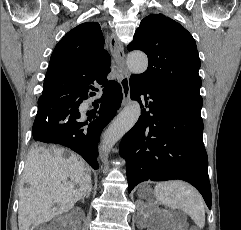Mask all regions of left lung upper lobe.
<instances>
[{
  "label": "left lung upper lobe",
  "instance_id": "1",
  "mask_svg": "<svg viewBox=\"0 0 241 230\" xmlns=\"http://www.w3.org/2000/svg\"><path fill=\"white\" fill-rule=\"evenodd\" d=\"M128 50H141L148 56V69L132 76L140 84L203 105L196 43L179 23L163 14L145 17Z\"/></svg>",
  "mask_w": 241,
  "mask_h": 230
}]
</instances>
